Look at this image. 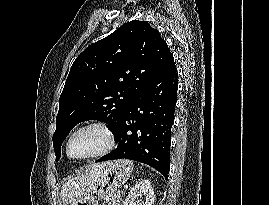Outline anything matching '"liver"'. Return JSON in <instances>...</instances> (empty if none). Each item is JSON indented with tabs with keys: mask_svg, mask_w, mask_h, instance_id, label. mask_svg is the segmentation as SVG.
<instances>
[{
	"mask_svg": "<svg viewBox=\"0 0 269 205\" xmlns=\"http://www.w3.org/2000/svg\"><path fill=\"white\" fill-rule=\"evenodd\" d=\"M109 162L91 164L77 177L69 179L61 189L63 205L91 192Z\"/></svg>",
	"mask_w": 269,
	"mask_h": 205,
	"instance_id": "obj_1",
	"label": "liver"
}]
</instances>
